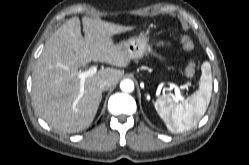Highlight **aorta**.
Masks as SVG:
<instances>
[{
  "mask_svg": "<svg viewBox=\"0 0 249 165\" xmlns=\"http://www.w3.org/2000/svg\"><path fill=\"white\" fill-rule=\"evenodd\" d=\"M120 89L123 92H132L134 90V82L131 79H123L120 82Z\"/></svg>",
  "mask_w": 249,
  "mask_h": 165,
  "instance_id": "aorta-1",
  "label": "aorta"
}]
</instances>
